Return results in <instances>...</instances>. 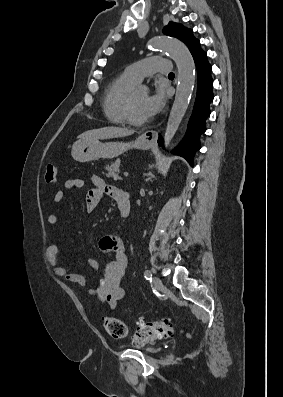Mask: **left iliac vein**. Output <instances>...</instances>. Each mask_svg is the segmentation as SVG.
Here are the masks:
<instances>
[{"instance_id": "4c4485c4", "label": "left iliac vein", "mask_w": 283, "mask_h": 397, "mask_svg": "<svg viewBox=\"0 0 283 397\" xmlns=\"http://www.w3.org/2000/svg\"><path fill=\"white\" fill-rule=\"evenodd\" d=\"M153 284L157 290H161L163 288L161 280L156 276L153 278Z\"/></svg>"}]
</instances>
